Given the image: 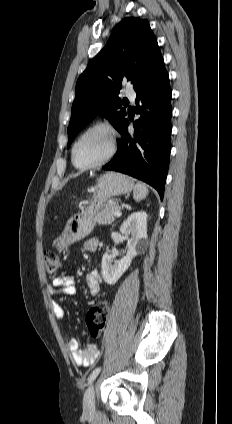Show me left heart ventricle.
<instances>
[{"mask_svg":"<svg viewBox=\"0 0 232 424\" xmlns=\"http://www.w3.org/2000/svg\"><path fill=\"white\" fill-rule=\"evenodd\" d=\"M110 148V137L102 130H94L79 142L75 158L81 166L89 165L104 157Z\"/></svg>","mask_w":232,"mask_h":424,"instance_id":"obj_1","label":"left heart ventricle"}]
</instances>
